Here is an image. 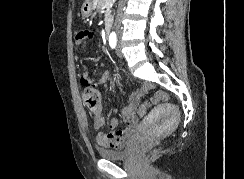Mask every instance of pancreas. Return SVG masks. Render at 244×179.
Returning a JSON list of instances; mask_svg holds the SVG:
<instances>
[{"mask_svg":"<svg viewBox=\"0 0 244 179\" xmlns=\"http://www.w3.org/2000/svg\"><path fill=\"white\" fill-rule=\"evenodd\" d=\"M101 2H104V4H102V6H106L107 0H98V4H101Z\"/></svg>","mask_w":244,"mask_h":179,"instance_id":"obj_1","label":"pancreas"}]
</instances>
